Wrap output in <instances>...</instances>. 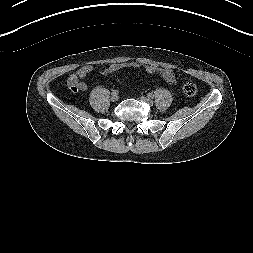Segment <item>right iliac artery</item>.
I'll use <instances>...</instances> for the list:
<instances>
[{
    "instance_id": "right-iliac-artery-1",
    "label": "right iliac artery",
    "mask_w": 253,
    "mask_h": 253,
    "mask_svg": "<svg viewBox=\"0 0 253 253\" xmlns=\"http://www.w3.org/2000/svg\"><path fill=\"white\" fill-rule=\"evenodd\" d=\"M111 94H118V90H112Z\"/></svg>"
}]
</instances>
